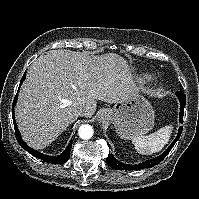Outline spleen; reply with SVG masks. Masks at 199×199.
Wrapping results in <instances>:
<instances>
[{
	"label": "spleen",
	"mask_w": 199,
	"mask_h": 199,
	"mask_svg": "<svg viewBox=\"0 0 199 199\" xmlns=\"http://www.w3.org/2000/svg\"><path fill=\"white\" fill-rule=\"evenodd\" d=\"M172 130V125H166L152 134L133 138L132 143L139 153L151 155L164 148L171 137Z\"/></svg>",
	"instance_id": "1"
}]
</instances>
